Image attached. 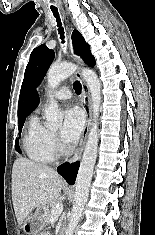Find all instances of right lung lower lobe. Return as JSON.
<instances>
[{
    "label": "right lung lower lobe",
    "instance_id": "1",
    "mask_svg": "<svg viewBox=\"0 0 155 235\" xmlns=\"http://www.w3.org/2000/svg\"><path fill=\"white\" fill-rule=\"evenodd\" d=\"M79 167V162H76L74 164H64L60 167H58L57 171L60 175H62L66 181L73 185L76 179L77 171Z\"/></svg>",
    "mask_w": 155,
    "mask_h": 235
}]
</instances>
